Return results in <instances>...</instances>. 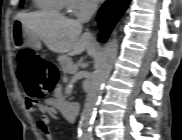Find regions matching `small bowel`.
<instances>
[{
  "label": "small bowel",
  "mask_w": 182,
  "mask_h": 140,
  "mask_svg": "<svg viewBox=\"0 0 182 140\" xmlns=\"http://www.w3.org/2000/svg\"><path fill=\"white\" fill-rule=\"evenodd\" d=\"M25 105L29 112L37 111L40 113V118L37 121L38 130L43 135H45L48 138V140H58L54 131L52 130L51 121H50V117L48 115L46 105H44L40 102L34 103L28 98H26V100H25Z\"/></svg>",
  "instance_id": "c3829d8e"
}]
</instances>
